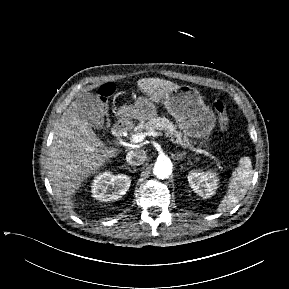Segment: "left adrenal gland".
Instances as JSON below:
<instances>
[{
    "label": "left adrenal gland",
    "instance_id": "obj_1",
    "mask_svg": "<svg viewBox=\"0 0 289 289\" xmlns=\"http://www.w3.org/2000/svg\"><path fill=\"white\" fill-rule=\"evenodd\" d=\"M183 154H178L176 157V160H181L182 159Z\"/></svg>",
    "mask_w": 289,
    "mask_h": 289
}]
</instances>
